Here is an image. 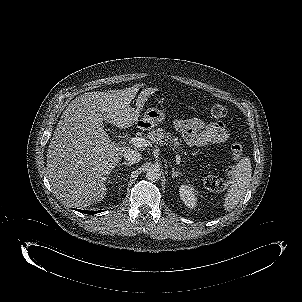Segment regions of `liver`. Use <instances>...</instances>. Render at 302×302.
Listing matches in <instances>:
<instances>
[{
  "mask_svg": "<svg viewBox=\"0 0 302 302\" xmlns=\"http://www.w3.org/2000/svg\"><path fill=\"white\" fill-rule=\"evenodd\" d=\"M133 88L87 92L64 110L47 152L56 191L68 203L85 207L102 201L105 181L129 147L112 142L104 121L125 129L138 121L140 104L130 107Z\"/></svg>",
  "mask_w": 302,
  "mask_h": 302,
  "instance_id": "obj_1",
  "label": "liver"
}]
</instances>
